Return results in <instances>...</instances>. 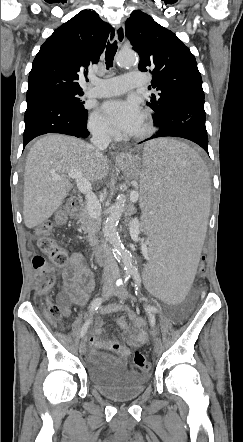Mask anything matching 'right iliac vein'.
I'll list each match as a JSON object with an SVG mask.
<instances>
[{"label":"right iliac vein","mask_w":243,"mask_h":442,"mask_svg":"<svg viewBox=\"0 0 243 442\" xmlns=\"http://www.w3.org/2000/svg\"><path fill=\"white\" fill-rule=\"evenodd\" d=\"M114 290V286L111 283H107L103 286L102 292H101V299L102 301H106L111 292ZM79 351L81 355H84L86 353V337H84L80 343Z\"/></svg>","instance_id":"1"}]
</instances>
